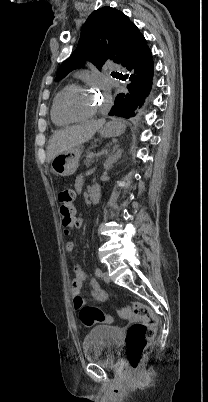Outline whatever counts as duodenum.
I'll return each mask as SVG.
<instances>
[{"mask_svg":"<svg viewBox=\"0 0 208 402\" xmlns=\"http://www.w3.org/2000/svg\"><path fill=\"white\" fill-rule=\"evenodd\" d=\"M101 190L97 185L92 186L90 191V199L93 203H97L100 199Z\"/></svg>","mask_w":208,"mask_h":402,"instance_id":"duodenum-1","label":"duodenum"}]
</instances>
